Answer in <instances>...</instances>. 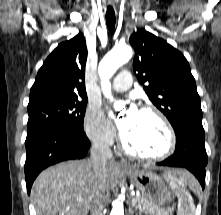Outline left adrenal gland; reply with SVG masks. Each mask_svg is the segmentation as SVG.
<instances>
[{
	"label": "left adrenal gland",
	"mask_w": 221,
	"mask_h": 215,
	"mask_svg": "<svg viewBox=\"0 0 221 215\" xmlns=\"http://www.w3.org/2000/svg\"><path fill=\"white\" fill-rule=\"evenodd\" d=\"M129 212H130L131 214H133V210H132L131 208H130Z\"/></svg>",
	"instance_id": "1"
}]
</instances>
